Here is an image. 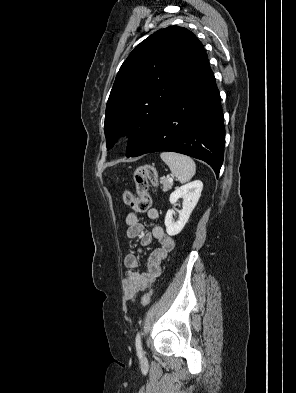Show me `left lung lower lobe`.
<instances>
[{"label":"left lung lower lobe","mask_w":296,"mask_h":393,"mask_svg":"<svg viewBox=\"0 0 296 393\" xmlns=\"http://www.w3.org/2000/svg\"><path fill=\"white\" fill-rule=\"evenodd\" d=\"M224 138L220 94L207 60L131 156L178 152L205 161L218 176L224 157Z\"/></svg>","instance_id":"obj_1"}]
</instances>
